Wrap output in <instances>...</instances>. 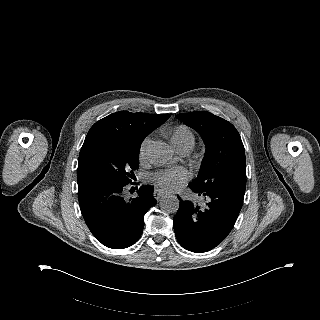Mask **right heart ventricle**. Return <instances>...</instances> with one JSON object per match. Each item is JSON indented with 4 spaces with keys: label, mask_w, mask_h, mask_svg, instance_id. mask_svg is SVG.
I'll use <instances>...</instances> for the list:
<instances>
[{
    "label": "right heart ventricle",
    "mask_w": 320,
    "mask_h": 320,
    "mask_svg": "<svg viewBox=\"0 0 320 320\" xmlns=\"http://www.w3.org/2000/svg\"><path fill=\"white\" fill-rule=\"evenodd\" d=\"M170 141L173 146L191 149L195 144V135L186 125H177L170 129Z\"/></svg>",
    "instance_id": "obj_1"
}]
</instances>
